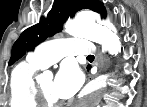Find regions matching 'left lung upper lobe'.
Returning a JSON list of instances; mask_svg holds the SVG:
<instances>
[{
    "label": "left lung upper lobe",
    "mask_w": 147,
    "mask_h": 107,
    "mask_svg": "<svg viewBox=\"0 0 147 107\" xmlns=\"http://www.w3.org/2000/svg\"><path fill=\"white\" fill-rule=\"evenodd\" d=\"M82 9H90L100 13L101 17L104 18L107 15L103 3L99 0H54L47 16L41 17L38 24L27 28L16 40L12 48L9 65L24 56L27 51L34 50L48 37L60 32L65 21Z\"/></svg>",
    "instance_id": "5c2ea615"
}]
</instances>
